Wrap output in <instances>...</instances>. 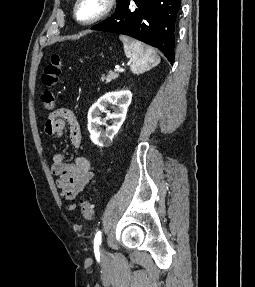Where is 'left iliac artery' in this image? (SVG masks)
Instances as JSON below:
<instances>
[{
	"label": "left iliac artery",
	"mask_w": 255,
	"mask_h": 287,
	"mask_svg": "<svg viewBox=\"0 0 255 287\" xmlns=\"http://www.w3.org/2000/svg\"><path fill=\"white\" fill-rule=\"evenodd\" d=\"M101 244V231H98L95 235L94 246H100Z\"/></svg>",
	"instance_id": "obj_1"
}]
</instances>
